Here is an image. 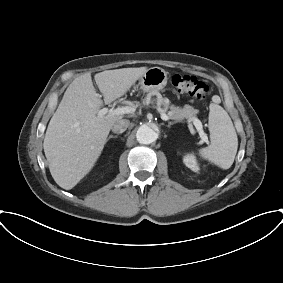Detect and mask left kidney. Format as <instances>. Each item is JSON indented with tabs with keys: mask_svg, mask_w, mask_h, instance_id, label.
<instances>
[{
	"mask_svg": "<svg viewBox=\"0 0 283 283\" xmlns=\"http://www.w3.org/2000/svg\"><path fill=\"white\" fill-rule=\"evenodd\" d=\"M185 165L190 168L191 170L197 172L199 170V167L197 165V161L192 154H188L183 159Z\"/></svg>",
	"mask_w": 283,
	"mask_h": 283,
	"instance_id": "5707ae66",
	"label": "left kidney"
}]
</instances>
